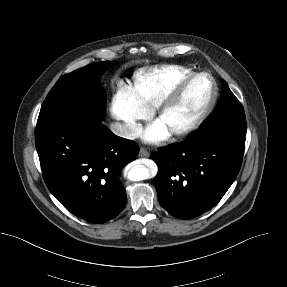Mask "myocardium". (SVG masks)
<instances>
[{
    "instance_id": "obj_1",
    "label": "myocardium",
    "mask_w": 287,
    "mask_h": 287,
    "mask_svg": "<svg viewBox=\"0 0 287 287\" xmlns=\"http://www.w3.org/2000/svg\"><path fill=\"white\" fill-rule=\"evenodd\" d=\"M207 78L210 82L211 92L204 107L188 122L181 126L173 127L169 130L172 137H184L194 130H196L204 120L209 116L214 108L218 97L217 84L214 78L205 72H193L187 77L183 78L154 108L153 116L155 120L159 121L167 111H169L180 99L186 88L196 79Z\"/></svg>"
}]
</instances>
